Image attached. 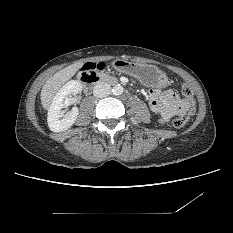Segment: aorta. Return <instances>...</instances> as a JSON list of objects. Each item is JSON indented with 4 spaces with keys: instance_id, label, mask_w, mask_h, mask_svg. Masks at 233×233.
Instances as JSON below:
<instances>
[{
    "instance_id": "aorta-1",
    "label": "aorta",
    "mask_w": 233,
    "mask_h": 233,
    "mask_svg": "<svg viewBox=\"0 0 233 233\" xmlns=\"http://www.w3.org/2000/svg\"><path fill=\"white\" fill-rule=\"evenodd\" d=\"M112 91H113V93L115 95H121L123 93L124 89H123V87L120 84H118V85H115L113 87Z\"/></svg>"
}]
</instances>
